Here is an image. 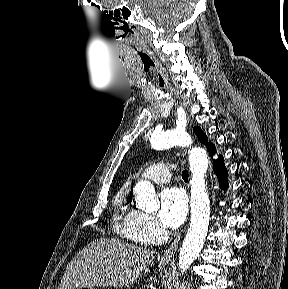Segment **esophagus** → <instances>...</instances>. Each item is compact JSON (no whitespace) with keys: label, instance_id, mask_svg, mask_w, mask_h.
Wrapping results in <instances>:
<instances>
[{"label":"esophagus","instance_id":"34e87169","mask_svg":"<svg viewBox=\"0 0 288 289\" xmlns=\"http://www.w3.org/2000/svg\"><path fill=\"white\" fill-rule=\"evenodd\" d=\"M179 241H180V235L175 238V240L172 242L170 247L166 249V251L162 254L161 256L162 261H169L174 257L177 251Z\"/></svg>","mask_w":288,"mask_h":289}]
</instances>
